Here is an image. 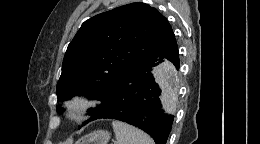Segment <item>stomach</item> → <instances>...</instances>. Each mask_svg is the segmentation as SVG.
Returning a JSON list of instances; mask_svg holds the SVG:
<instances>
[{
    "label": "stomach",
    "mask_w": 260,
    "mask_h": 144,
    "mask_svg": "<svg viewBox=\"0 0 260 144\" xmlns=\"http://www.w3.org/2000/svg\"><path fill=\"white\" fill-rule=\"evenodd\" d=\"M110 133L105 130H96L81 137L76 144H108Z\"/></svg>",
    "instance_id": "0dacf381"
}]
</instances>
